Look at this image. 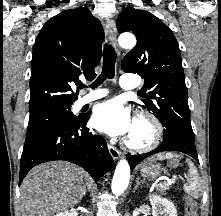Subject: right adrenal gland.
Here are the masks:
<instances>
[{
	"instance_id": "2a0ac1e0",
	"label": "right adrenal gland",
	"mask_w": 221,
	"mask_h": 216,
	"mask_svg": "<svg viewBox=\"0 0 221 216\" xmlns=\"http://www.w3.org/2000/svg\"><path fill=\"white\" fill-rule=\"evenodd\" d=\"M87 191H90L89 186H87V189H85L84 195H86Z\"/></svg>"
}]
</instances>
